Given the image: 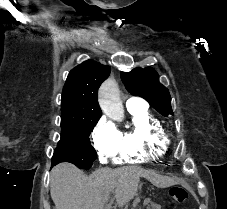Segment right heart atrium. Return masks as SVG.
Masks as SVG:
<instances>
[{"instance_id": "d8ad5b80", "label": "right heart atrium", "mask_w": 227, "mask_h": 209, "mask_svg": "<svg viewBox=\"0 0 227 209\" xmlns=\"http://www.w3.org/2000/svg\"><path fill=\"white\" fill-rule=\"evenodd\" d=\"M92 141L101 161L110 159L120 142V131L107 119H101L92 132Z\"/></svg>"}]
</instances>
